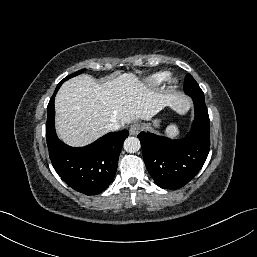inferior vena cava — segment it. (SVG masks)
Wrapping results in <instances>:
<instances>
[{
    "instance_id": "602c4592",
    "label": "inferior vena cava",
    "mask_w": 257,
    "mask_h": 257,
    "mask_svg": "<svg viewBox=\"0 0 257 257\" xmlns=\"http://www.w3.org/2000/svg\"><path fill=\"white\" fill-rule=\"evenodd\" d=\"M106 131H117L120 129V125L117 121H112L105 126Z\"/></svg>"
}]
</instances>
